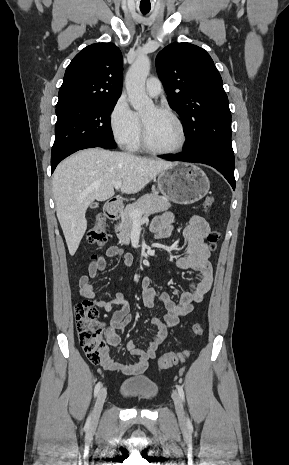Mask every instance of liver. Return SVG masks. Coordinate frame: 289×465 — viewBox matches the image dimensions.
I'll return each mask as SVG.
<instances>
[{"label": "liver", "instance_id": "6515ba94", "mask_svg": "<svg viewBox=\"0 0 289 465\" xmlns=\"http://www.w3.org/2000/svg\"><path fill=\"white\" fill-rule=\"evenodd\" d=\"M173 165L124 152L101 148L82 150L65 160L53 174L56 214L71 256L87 229L88 206L114 196V185L121 181V192L135 194Z\"/></svg>", "mask_w": 289, "mask_h": 465}]
</instances>
